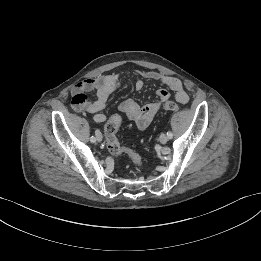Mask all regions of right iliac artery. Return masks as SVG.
<instances>
[{"instance_id": "82829eb1", "label": "right iliac artery", "mask_w": 261, "mask_h": 261, "mask_svg": "<svg viewBox=\"0 0 261 261\" xmlns=\"http://www.w3.org/2000/svg\"><path fill=\"white\" fill-rule=\"evenodd\" d=\"M97 131H98V130H97ZM97 131H96V132H97ZM90 141H91V142H95V141H96V138H95L94 136H92V137L90 138Z\"/></svg>"}]
</instances>
